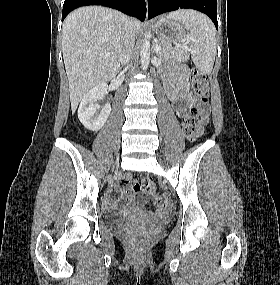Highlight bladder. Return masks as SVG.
Masks as SVG:
<instances>
[{
  "label": "bladder",
  "mask_w": 280,
  "mask_h": 285,
  "mask_svg": "<svg viewBox=\"0 0 280 285\" xmlns=\"http://www.w3.org/2000/svg\"><path fill=\"white\" fill-rule=\"evenodd\" d=\"M104 218L106 223L113 227H122L129 222L124 217L111 213L104 214Z\"/></svg>",
  "instance_id": "bladder-1"
}]
</instances>
